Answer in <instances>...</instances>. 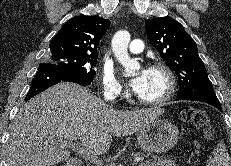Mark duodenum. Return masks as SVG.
Returning <instances> with one entry per match:
<instances>
[{"label":"duodenum","instance_id":"410a0bca","mask_svg":"<svg viewBox=\"0 0 231 166\" xmlns=\"http://www.w3.org/2000/svg\"><path fill=\"white\" fill-rule=\"evenodd\" d=\"M69 166H82V164L79 162H74V163L69 164Z\"/></svg>","mask_w":231,"mask_h":166}]
</instances>
